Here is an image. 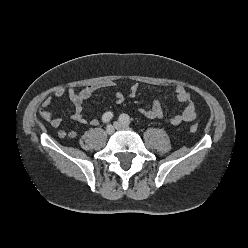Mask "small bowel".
Masks as SVG:
<instances>
[{"mask_svg":"<svg viewBox=\"0 0 248 248\" xmlns=\"http://www.w3.org/2000/svg\"><path fill=\"white\" fill-rule=\"evenodd\" d=\"M114 85L115 83L113 81H107L104 83L91 84L83 88H78L76 86H71L68 88H58L54 92L53 96H49L44 99L41 107L39 108V115L52 128H59L62 119L53 115L52 111L50 110V106L54 101H57L66 95L74 106V113L72 114L71 118L80 124L89 123L92 126H97L99 123L97 119L93 118L91 120H87L83 115V103L85 100L90 98L95 91L104 87H111ZM138 91L139 84L135 83L130 87L128 96L134 98L137 96ZM174 93L177 100L180 103L185 104V108L182 113L167 118V122L171 125H179L183 122L193 121L196 118V107L189 90H187L183 86H176L174 88ZM114 98L117 104H122L125 100V95L121 92H117ZM139 112L144 117L151 120L164 118V112L161 103L157 99L153 100L152 106L150 108H139ZM58 136L60 138L68 137L74 139L77 136V132L74 130L66 131L64 129H60L58 131Z\"/></svg>","mask_w":248,"mask_h":248,"instance_id":"1","label":"small bowel"}]
</instances>
